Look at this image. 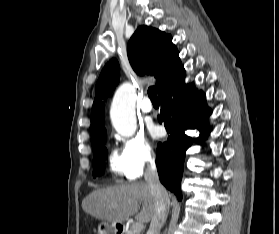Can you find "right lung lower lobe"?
<instances>
[{"label":"right lung lower lobe","mask_w":279,"mask_h":234,"mask_svg":"<svg viewBox=\"0 0 279 234\" xmlns=\"http://www.w3.org/2000/svg\"><path fill=\"white\" fill-rule=\"evenodd\" d=\"M185 70L179 73L161 92L158 120L170 134L168 140L157 147V167L160 181L179 200L182 198L181 178L185 153L193 140L184 131L198 129L199 141L209 135L208 118L212 113L205 102V94L197 91L194 83L185 84Z\"/></svg>","instance_id":"1"}]
</instances>
